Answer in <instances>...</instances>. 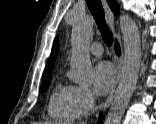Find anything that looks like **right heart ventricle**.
Returning a JSON list of instances; mask_svg holds the SVG:
<instances>
[{
  "instance_id": "right-heart-ventricle-1",
  "label": "right heart ventricle",
  "mask_w": 156,
  "mask_h": 124,
  "mask_svg": "<svg viewBox=\"0 0 156 124\" xmlns=\"http://www.w3.org/2000/svg\"><path fill=\"white\" fill-rule=\"evenodd\" d=\"M73 86H56L49 99L48 113L49 115L59 121H68L74 118L72 111V94Z\"/></svg>"
}]
</instances>
